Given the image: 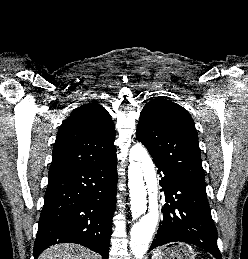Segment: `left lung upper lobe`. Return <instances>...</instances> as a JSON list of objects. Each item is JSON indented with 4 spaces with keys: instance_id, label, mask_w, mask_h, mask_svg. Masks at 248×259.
<instances>
[{
    "instance_id": "5c2ea615",
    "label": "left lung upper lobe",
    "mask_w": 248,
    "mask_h": 259,
    "mask_svg": "<svg viewBox=\"0 0 248 259\" xmlns=\"http://www.w3.org/2000/svg\"><path fill=\"white\" fill-rule=\"evenodd\" d=\"M136 137L153 160L188 184L206 188L197 131L183 107L162 98L149 101L140 113Z\"/></svg>"
}]
</instances>
